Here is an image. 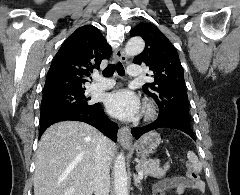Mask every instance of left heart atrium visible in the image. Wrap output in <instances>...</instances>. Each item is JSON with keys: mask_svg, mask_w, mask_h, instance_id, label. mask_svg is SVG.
<instances>
[{"mask_svg": "<svg viewBox=\"0 0 240 195\" xmlns=\"http://www.w3.org/2000/svg\"><path fill=\"white\" fill-rule=\"evenodd\" d=\"M106 107L110 114L127 121L135 119L140 110L137 95L126 89H118L108 94Z\"/></svg>", "mask_w": 240, "mask_h": 195, "instance_id": "obj_1", "label": "left heart atrium"}]
</instances>
